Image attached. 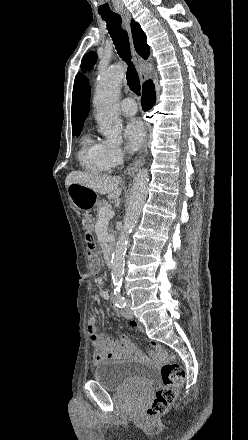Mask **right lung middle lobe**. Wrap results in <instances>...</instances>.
Instances as JSON below:
<instances>
[{
	"label": "right lung middle lobe",
	"mask_w": 248,
	"mask_h": 440,
	"mask_svg": "<svg viewBox=\"0 0 248 440\" xmlns=\"http://www.w3.org/2000/svg\"><path fill=\"white\" fill-rule=\"evenodd\" d=\"M80 132H81V130H78V131H73V135H75V136H79L80 135Z\"/></svg>",
	"instance_id": "right-lung-middle-lobe-1"
}]
</instances>
